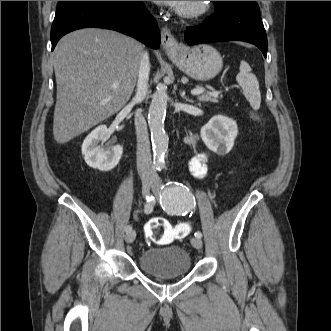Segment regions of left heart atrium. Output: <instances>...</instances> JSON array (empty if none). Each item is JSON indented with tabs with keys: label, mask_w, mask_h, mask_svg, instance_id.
Wrapping results in <instances>:
<instances>
[{
	"label": "left heart atrium",
	"mask_w": 331,
	"mask_h": 331,
	"mask_svg": "<svg viewBox=\"0 0 331 331\" xmlns=\"http://www.w3.org/2000/svg\"><path fill=\"white\" fill-rule=\"evenodd\" d=\"M156 4L159 5H168V6H180L183 1H154Z\"/></svg>",
	"instance_id": "left-heart-atrium-1"
}]
</instances>
